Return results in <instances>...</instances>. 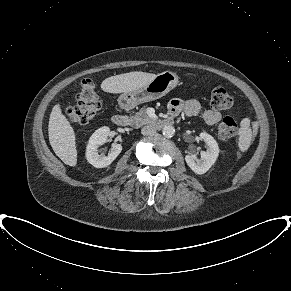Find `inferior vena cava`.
I'll use <instances>...</instances> for the list:
<instances>
[{
	"label": "inferior vena cava",
	"instance_id": "602c4592",
	"mask_svg": "<svg viewBox=\"0 0 291 291\" xmlns=\"http://www.w3.org/2000/svg\"><path fill=\"white\" fill-rule=\"evenodd\" d=\"M141 133L145 136H152L156 133V128L153 125H146L141 129Z\"/></svg>",
	"mask_w": 291,
	"mask_h": 291
}]
</instances>
